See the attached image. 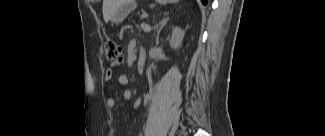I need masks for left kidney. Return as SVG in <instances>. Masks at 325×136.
<instances>
[{"instance_id": "left-kidney-1", "label": "left kidney", "mask_w": 325, "mask_h": 136, "mask_svg": "<svg viewBox=\"0 0 325 136\" xmlns=\"http://www.w3.org/2000/svg\"><path fill=\"white\" fill-rule=\"evenodd\" d=\"M185 32L180 27H174L170 39V45L173 48H179L182 44Z\"/></svg>"}]
</instances>
